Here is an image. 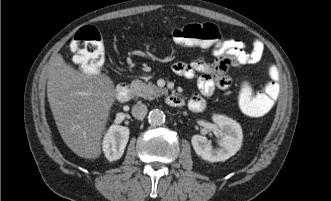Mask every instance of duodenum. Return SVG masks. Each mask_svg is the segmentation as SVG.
<instances>
[{
	"label": "duodenum",
	"instance_id": "1",
	"mask_svg": "<svg viewBox=\"0 0 331 201\" xmlns=\"http://www.w3.org/2000/svg\"><path fill=\"white\" fill-rule=\"evenodd\" d=\"M132 93V88L129 83H121L117 86L115 97L116 100L120 103L128 101ZM166 102L171 107H180L183 105L184 101L179 95L170 93L166 97Z\"/></svg>",
	"mask_w": 331,
	"mask_h": 201
}]
</instances>
